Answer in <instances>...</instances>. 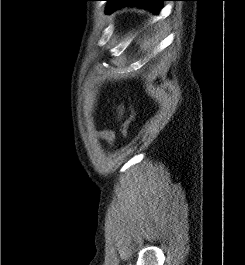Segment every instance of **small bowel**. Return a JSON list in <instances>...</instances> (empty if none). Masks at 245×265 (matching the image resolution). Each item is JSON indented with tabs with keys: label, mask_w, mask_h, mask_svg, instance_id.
Wrapping results in <instances>:
<instances>
[{
	"label": "small bowel",
	"mask_w": 245,
	"mask_h": 265,
	"mask_svg": "<svg viewBox=\"0 0 245 265\" xmlns=\"http://www.w3.org/2000/svg\"><path fill=\"white\" fill-rule=\"evenodd\" d=\"M119 116L122 115V108L118 109ZM100 137L108 143H112L114 140V132L112 130H103L100 132Z\"/></svg>",
	"instance_id": "small-bowel-1"
}]
</instances>
